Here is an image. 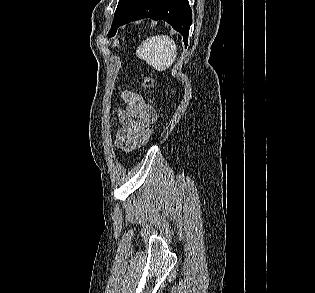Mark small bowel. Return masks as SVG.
I'll list each match as a JSON object with an SVG mask.
<instances>
[{
    "instance_id": "small-bowel-1",
    "label": "small bowel",
    "mask_w": 315,
    "mask_h": 293,
    "mask_svg": "<svg viewBox=\"0 0 315 293\" xmlns=\"http://www.w3.org/2000/svg\"><path fill=\"white\" fill-rule=\"evenodd\" d=\"M123 98L128 106L118 112L122 128L116 134L115 145L123 151H131L142 144L145 132L150 128L152 120H156V113L132 92H124Z\"/></svg>"
}]
</instances>
